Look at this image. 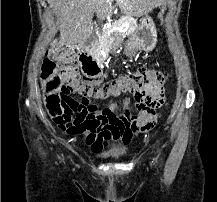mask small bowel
<instances>
[{"instance_id":"obj_1","label":"small bowel","mask_w":217,"mask_h":202,"mask_svg":"<svg viewBox=\"0 0 217 202\" xmlns=\"http://www.w3.org/2000/svg\"><path fill=\"white\" fill-rule=\"evenodd\" d=\"M68 79L73 80V83L76 84V88H84V90H94L91 98L94 99H107L111 97H120L125 91L121 90L117 87H112L111 85H87L82 84L76 79V75L67 76ZM124 110H131L130 101L126 100L124 103ZM155 114V112H154ZM154 114H144V110H139L137 115L133 116H153ZM109 135V136H108ZM135 133L132 131H126L119 135H111V131L107 129V131H86V136H88V141H116L125 146L132 143ZM86 147H110V142H86ZM101 151V150H100Z\"/></svg>"}]
</instances>
